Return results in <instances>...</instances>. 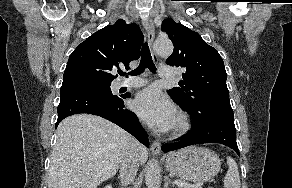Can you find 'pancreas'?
Wrapping results in <instances>:
<instances>
[{"label":"pancreas","instance_id":"1","mask_svg":"<svg viewBox=\"0 0 292 188\" xmlns=\"http://www.w3.org/2000/svg\"><path fill=\"white\" fill-rule=\"evenodd\" d=\"M187 185H189L190 186V188H193V185H191V184H188V183H186Z\"/></svg>","mask_w":292,"mask_h":188}]
</instances>
